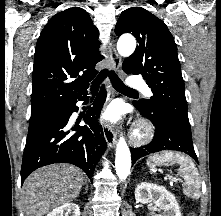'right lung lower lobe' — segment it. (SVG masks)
<instances>
[{"label":"right lung lower lobe","instance_id":"obj_1","mask_svg":"<svg viewBox=\"0 0 221 216\" xmlns=\"http://www.w3.org/2000/svg\"><path fill=\"white\" fill-rule=\"evenodd\" d=\"M86 95L87 92L56 107L50 120L34 135L27 137L21 183L37 168L53 163L74 164L92 178L96 162L106 147L103 129L97 120L105 102L106 91L102 87L93 106L87 110L84 121L90 127H70V116L78 111L76 103L85 100Z\"/></svg>","mask_w":221,"mask_h":216}]
</instances>
